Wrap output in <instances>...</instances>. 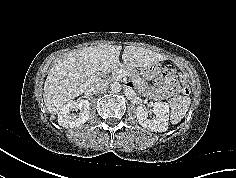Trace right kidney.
I'll use <instances>...</instances> for the list:
<instances>
[{
	"mask_svg": "<svg viewBox=\"0 0 236 178\" xmlns=\"http://www.w3.org/2000/svg\"><path fill=\"white\" fill-rule=\"evenodd\" d=\"M79 110L78 114H72L71 111ZM90 102L84 99L69 101L58 114V123L65 128L79 127L89 119Z\"/></svg>",
	"mask_w": 236,
	"mask_h": 178,
	"instance_id": "obj_1",
	"label": "right kidney"
}]
</instances>
